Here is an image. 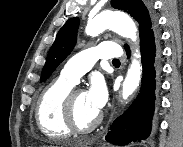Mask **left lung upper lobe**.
<instances>
[{
	"label": "left lung upper lobe",
	"mask_w": 183,
	"mask_h": 147,
	"mask_svg": "<svg viewBox=\"0 0 183 147\" xmlns=\"http://www.w3.org/2000/svg\"><path fill=\"white\" fill-rule=\"evenodd\" d=\"M112 7L130 14L138 23L140 38L155 27V20L149 14L142 0H112ZM79 19H69L59 30L51 46L42 70L41 82L46 81L58 65L70 54L76 44ZM128 46L125 45V48Z\"/></svg>",
	"instance_id": "left-lung-upper-lobe-1"
}]
</instances>
